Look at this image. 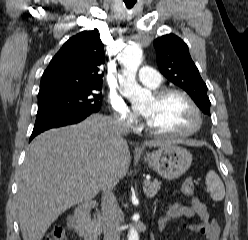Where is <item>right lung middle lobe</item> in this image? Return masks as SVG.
<instances>
[{"label": "right lung middle lobe", "mask_w": 248, "mask_h": 240, "mask_svg": "<svg viewBox=\"0 0 248 240\" xmlns=\"http://www.w3.org/2000/svg\"><path fill=\"white\" fill-rule=\"evenodd\" d=\"M98 89H79L38 96V111L47 109L67 110L70 112H98L102 95Z\"/></svg>", "instance_id": "dd1d6c3e"}]
</instances>
